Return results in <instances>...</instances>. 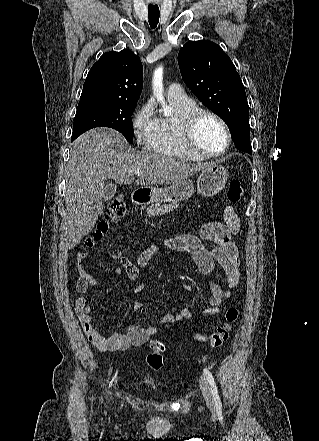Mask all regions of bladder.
Here are the masks:
<instances>
[{
    "mask_svg": "<svg viewBox=\"0 0 319 441\" xmlns=\"http://www.w3.org/2000/svg\"><path fill=\"white\" fill-rule=\"evenodd\" d=\"M147 383H149V384H153V382H150V381H149V382H147Z\"/></svg>",
    "mask_w": 319,
    "mask_h": 441,
    "instance_id": "bladder-1",
    "label": "bladder"
}]
</instances>
